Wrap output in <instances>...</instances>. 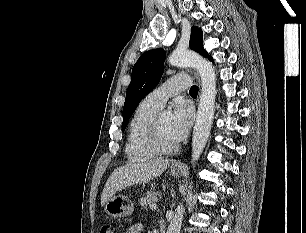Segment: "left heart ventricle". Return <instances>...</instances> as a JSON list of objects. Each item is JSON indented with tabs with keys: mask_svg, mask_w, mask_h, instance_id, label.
Wrapping results in <instances>:
<instances>
[{
	"mask_svg": "<svg viewBox=\"0 0 306 233\" xmlns=\"http://www.w3.org/2000/svg\"><path fill=\"white\" fill-rule=\"evenodd\" d=\"M169 119L159 118L158 119V132L161 142L164 146L170 147L176 144L169 134Z\"/></svg>",
	"mask_w": 306,
	"mask_h": 233,
	"instance_id": "left-heart-ventricle-1",
	"label": "left heart ventricle"
}]
</instances>
